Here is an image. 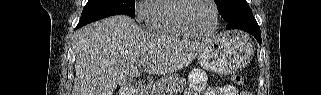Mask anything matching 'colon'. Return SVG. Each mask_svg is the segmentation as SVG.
<instances>
[{
  "mask_svg": "<svg viewBox=\"0 0 321 95\" xmlns=\"http://www.w3.org/2000/svg\"><path fill=\"white\" fill-rule=\"evenodd\" d=\"M232 80H233L234 84L239 85V86H242L245 83L244 77L240 74L233 75Z\"/></svg>",
  "mask_w": 321,
  "mask_h": 95,
  "instance_id": "5ec220e1",
  "label": "colon"
}]
</instances>
